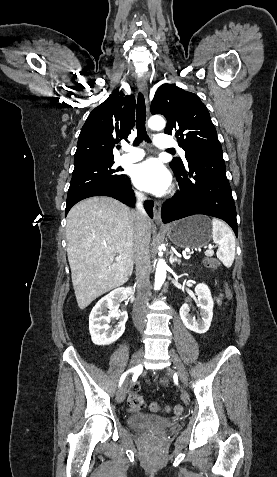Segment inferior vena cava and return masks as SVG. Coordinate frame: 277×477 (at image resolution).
I'll return each instance as SVG.
<instances>
[{
  "mask_svg": "<svg viewBox=\"0 0 277 477\" xmlns=\"http://www.w3.org/2000/svg\"><path fill=\"white\" fill-rule=\"evenodd\" d=\"M135 217L134 261L136 265L137 300L133 308V322L137 329L145 326L144 315L150 295V255H149V218L143 207L146 197L137 194Z\"/></svg>",
  "mask_w": 277,
  "mask_h": 477,
  "instance_id": "obj_1",
  "label": "inferior vena cava"
}]
</instances>
